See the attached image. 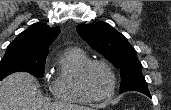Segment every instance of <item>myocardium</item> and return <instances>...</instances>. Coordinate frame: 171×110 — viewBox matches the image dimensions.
I'll list each match as a JSON object with an SVG mask.
<instances>
[{"label": "myocardium", "mask_w": 171, "mask_h": 110, "mask_svg": "<svg viewBox=\"0 0 171 110\" xmlns=\"http://www.w3.org/2000/svg\"><path fill=\"white\" fill-rule=\"evenodd\" d=\"M103 66L110 74L111 76V80H112V87L111 90L108 94L104 95V96H96L94 94H92V92L90 91L88 85H87V76L89 71L94 67V66ZM79 87L81 89V91L92 101H107L110 100L116 92L117 89V77L115 74V71L113 70L112 66L103 60H92L89 61L80 71L79 74Z\"/></svg>", "instance_id": "1"}]
</instances>
